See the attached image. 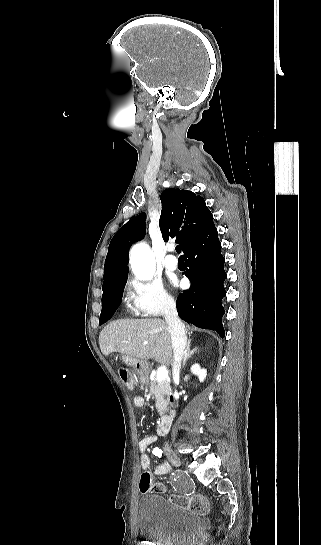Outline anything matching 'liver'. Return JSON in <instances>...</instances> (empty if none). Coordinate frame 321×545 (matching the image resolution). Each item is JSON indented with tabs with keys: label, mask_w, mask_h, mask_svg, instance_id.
Wrapping results in <instances>:
<instances>
[{
	"label": "liver",
	"mask_w": 321,
	"mask_h": 545,
	"mask_svg": "<svg viewBox=\"0 0 321 545\" xmlns=\"http://www.w3.org/2000/svg\"><path fill=\"white\" fill-rule=\"evenodd\" d=\"M99 347L105 357L123 353L134 359H155L164 365H172L173 361L170 329L162 319L111 321L99 335Z\"/></svg>",
	"instance_id": "liver-1"
}]
</instances>
